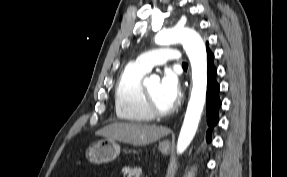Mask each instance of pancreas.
I'll use <instances>...</instances> for the list:
<instances>
[{
	"instance_id": "1",
	"label": "pancreas",
	"mask_w": 287,
	"mask_h": 177,
	"mask_svg": "<svg viewBox=\"0 0 287 177\" xmlns=\"http://www.w3.org/2000/svg\"><path fill=\"white\" fill-rule=\"evenodd\" d=\"M122 173L125 176L127 177H140L141 176V173H142V170L141 168H130V167H124L122 169Z\"/></svg>"
}]
</instances>
